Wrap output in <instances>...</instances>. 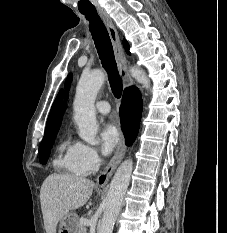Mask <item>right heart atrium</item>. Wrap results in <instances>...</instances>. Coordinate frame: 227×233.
<instances>
[{"instance_id": "obj_1", "label": "right heart atrium", "mask_w": 227, "mask_h": 233, "mask_svg": "<svg viewBox=\"0 0 227 233\" xmlns=\"http://www.w3.org/2000/svg\"><path fill=\"white\" fill-rule=\"evenodd\" d=\"M77 156L80 167L85 174L92 173L97 170L100 165V156L98 151L87 144L76 143Z\"/></svg>"}]
</instances>
